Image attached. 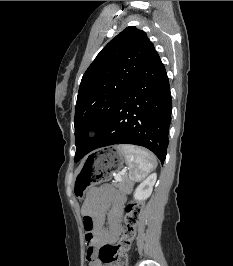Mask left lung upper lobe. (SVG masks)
Listing matches in <instances>:
<instances>
[{"label": "left lung upper lobe", "instance_id": "obj_1", "mask_svg": "<svg viewBox=\"0 0 233 266\" xmlns=\"http://www.w3.org/2000/svg\"><path fill=\"white\" fill-rule=\"evenodd\" d=\"M155 52L144 31L127 27L97 55L82 77L75 110V161L84 156L93 139L89 130L99 132L123 94L133 84Z\"/></svg>", "mask_w": 233, "mask_h": 266}]
</instances>
